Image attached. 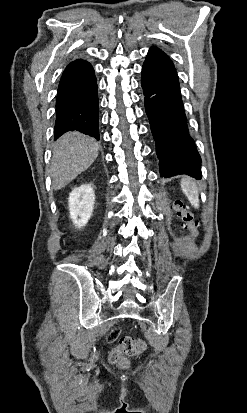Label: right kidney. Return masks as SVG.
<instances>
[{
    "instance_id": "right-kidney-1",
    "label": "right kidney",
    "mask_w": 247,
    "mask_h": 413,
    "mask_svg": "<svg viewBox=\"0 0 247 413\" xmlns=\"http://www.w3.org/2000/svg\"><path fill=\"white\" fill-rule=\"evenodd\" d=\"M95 194L91 184H81L69 194V213L75 227L81 229L88 223L94 207ZM79 217V219H78Z\"/></svg>"
}]
</instances>
